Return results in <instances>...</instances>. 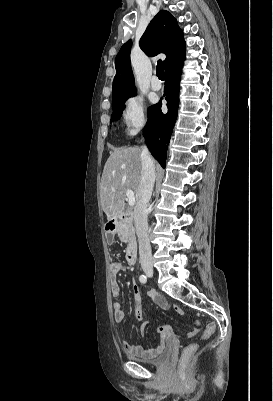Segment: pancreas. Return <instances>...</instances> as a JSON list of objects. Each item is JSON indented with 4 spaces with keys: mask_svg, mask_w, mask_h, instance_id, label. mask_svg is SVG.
Instances as JSON below:
<instances>
[{
    "mask_svg": "<svg viewBox=\"0 0 273 401\" xmlns=\"http://www.w3.org/2000/svg\"><path fill=\"white\" fill-rule=\"evenodd\" d=\"M117 233L120 241H123V243H127L129 235L130 233H132V231H130L127 223H118Z\"/></svg>",
    "mask_w": 273,
    "mask_h": 401,
    "instance_id": "obj_1",
    "label": "pancreas"
}]
</instances>
